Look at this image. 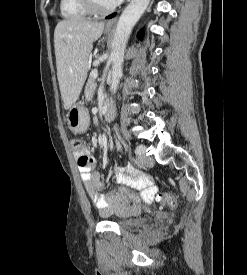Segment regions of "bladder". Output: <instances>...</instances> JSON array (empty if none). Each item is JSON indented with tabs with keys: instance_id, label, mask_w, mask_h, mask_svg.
<instances>
[{
	"instance_id": "obj_1",
	"label": "bladder",
	"mask_w": 247,
	"mask_h": 275,
	"mask_svg": "<svg viewBox=\"0 0 247 275\" xmlns=\"http://www.w3.org/2000/svg\"><path fill=\"white\" fill-rule=\"evenodd\" d=\"M106 220L112 223H116L123 228H130L132 226L144 223V219L135 210H131L123 216L109 217Z\"/></svg>"
}]
</instances>
